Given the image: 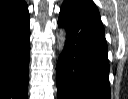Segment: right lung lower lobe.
Instances as JSON below:
<instances>
[{
    "instance_id": "98d812e1",
    "label": "right lung lower lobe",
    "mask_w": 128,
    "mask_h": 99,
    "mask_svg": "<svg viewBox=\"0 0 128 99\" xmlns=\"http://www.w3.org/2000/svg\"><path fill=\"white\" fill-rule=\"evenodd\" d=\"M30 18L27 5L0 22V99H27Z\"/></svg>"
}]
</instances>
